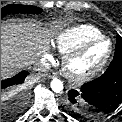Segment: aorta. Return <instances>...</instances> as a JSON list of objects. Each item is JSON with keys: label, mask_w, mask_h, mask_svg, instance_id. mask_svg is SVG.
<instances>
[{"label": "aorta", "mask_w": 122, "mask_h": 122, "mask_svg": "<svg viewBox=\"0 0 122 122\" xmlns=\"http://www.w3.org/2000/svg\"><path fill=\"white\" fill-rule=\"evenodd\" d=\"M50 86L55 93H60L63 90V83L59 79H53Z\"/></svg>", "instance_id": "762f6f07"}]
</instances>
